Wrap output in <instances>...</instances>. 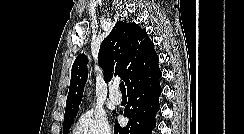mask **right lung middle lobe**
<instances>
[{"label":"right lung middle lobe","mask_w":244,"mask_h":134,"mask_svg":"<svg viewBox=\"0 0 244 134\" xmlns=\"http://www.w3.org/2000/svg\"><path fill=\"white\" fill-rule=\"evenodd\" d=\"M76 117V115L64 118V124H63V134H68L69 129L71 125L73 124V120Z\"/></svg>","instance_id":"1"}]
</instances>
